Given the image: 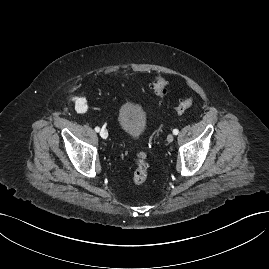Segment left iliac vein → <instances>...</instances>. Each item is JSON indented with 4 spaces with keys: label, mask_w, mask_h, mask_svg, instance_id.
<instances>
[{
    "label": "left iliac vein",
    "mask_w": 269,
    "mask_h": 269,
    "mask_svg": "<svg viewBox=\"0 0 269 269\" xmlns=\"http://www.w3.org/2000/svg\"><path fill=\"white\" fill-rule=\"evenodd\" d=\"M173 140H174V136H173L172 134H169V135L167 136V141H168L169 143H171Z\"/></svg>",
    "instance_id": "4c4485c4"
}]
</instances>
